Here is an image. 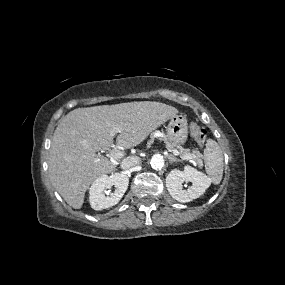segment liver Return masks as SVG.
<instances>
[{
  "mask_svg": "<svg viewBox=\"0 0 285 285\" xmlns=\"http://www.w3.org/2000/svg\"><path fill=\"white\" fill-rule=\"evenodd\" d=\"M175 107L140 101L78 108L63 117L55 129L49 152V175L54 188L74 209H80L89 186L112 172L116 161L97 154L116 143L129 149L139 145L157 127L176 116Z\"/></svg>",
  "mask_w": 285,
  "mask_h": 285,
  "instance_id": "obj_1",
  "label": "liver"
}]
</instances>
